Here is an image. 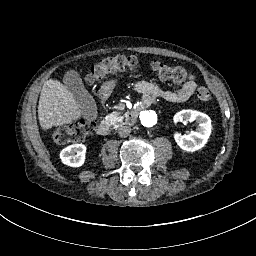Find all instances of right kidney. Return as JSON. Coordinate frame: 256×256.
I'll use <instances>...</instances> for the list:
<instances>
[{"mask_svg":"<svg viewBox=\"0 0 256 256\" xmlns=\"http://www.w3.org/2000/svg\"><path fill=\"white\" fill-rule=\"evenodd\" d=\"M87 147L84 144H72L60 152L61 162L69 167H82L86 161ZM74 153L77 155L73 156Z\"/></svg>","mask_w":256,"mask_h":256,"instance_id":"right-kidney-1","label":"right kidney"}]
</instances>
